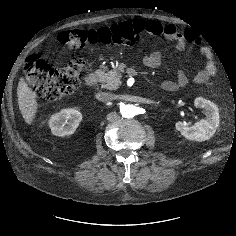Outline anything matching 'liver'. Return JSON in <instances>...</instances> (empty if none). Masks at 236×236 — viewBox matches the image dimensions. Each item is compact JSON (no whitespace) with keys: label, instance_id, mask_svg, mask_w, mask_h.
<instances>
[{"label":"liver","instance_id":"obj_1","mask_svg":"<svg viewBox=\"0 0 236 236\" xmlns=\"http://www.w3.org/2000/svg\"><path fill=\"white\" fill-rule=\"evenodd\" d=\"M17 97L19 110L28 125H32L37 112L38 103L37 95L25 81L24 78L20 79L17 87Z\"/></svg>","mask_w":236,"mask_h":236}]
</instances>
